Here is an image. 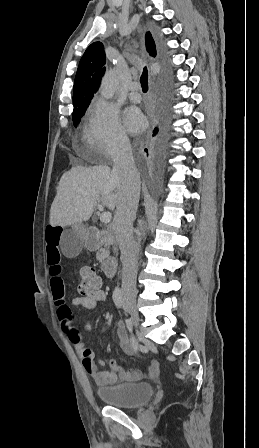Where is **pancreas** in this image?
<instances>
[{
  "instance_id": "obj_1",
  "label": "pancreas",
  "mask_w": 259,
  "mask_h": 448,
  "mask_svg": "<svg viewBox=\"0 0 259 448\" xmlns=\"http://www.w3.org/2000/svg\"><path fill=\"white\" fill-rule=\"evenodd\" d=\"M97 260H104V252H97Z\"/></svg>"
}]
</instances>
